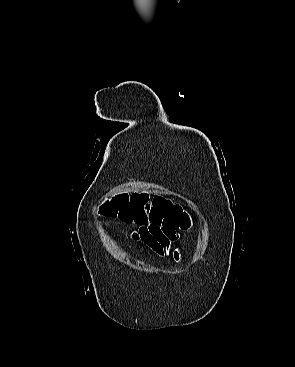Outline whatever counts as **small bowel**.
I'll return each mask as SVG.
<instances>
[{
    "label": "small bowel",
    "mask_w": 295,
    "mask_h": 367,
    "mask_svg": "<svg viewBox=\"0 0 295 367\" xmlns=\"http://www.w3.org/2000/svg\"><path fill=\"white\" fill-rule=\"evenodd\" d=\"M136 224L138 228L132 233L134 240L142 242L161 257L171 254V245L179 238V225L166 220ZM173 256L178 260L179 252L174 251Z\"/></svg>",
    "instance_id": "obj_1"
}]
</instances>
